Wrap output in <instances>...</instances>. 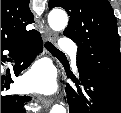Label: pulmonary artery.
Wrapping results in <instances>:
<instances>
[{
  "label": "pulmonary artery",
  "instance_id": "pulmonary-artery-1",
  "mask_svg": "<svg viewBox=\"0 0 121 113\" xmlns=\"http://www.w3.org/2000/svg\"><path fill=\"white\" fill-rule=\"evenodd\" d=\"M61 49L62 50H65V51H69L73 55H75L76 54L77 47H76V45L74 44L73 41H71L70 39L66 38L62 42Z\"/></svg>",
  "mask_w": 121,
  "mask_h": 113
}]
</instances>
